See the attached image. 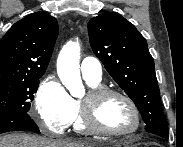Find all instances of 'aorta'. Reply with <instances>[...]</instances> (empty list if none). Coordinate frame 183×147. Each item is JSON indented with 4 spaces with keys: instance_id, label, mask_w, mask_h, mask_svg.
Wrapping results in <instances>:
<instances>
[{
    "instance_id": "obj_1",
    "label": "aorta",
    "mask_w": 183,
    "mask_h": 147,
    "mask_svg": "<svg viewBox=\"0 0 183 147\" xmlns=\"http://www.w3.org/2000/svg\"><path fill=\"white\" fill-rule=\"evenodd\" d=\"M80 44L78 41H69L58 56L57 73L62 84L74 97H81L84 92L80 76Z\"/></svg>"
}]
</instances>
